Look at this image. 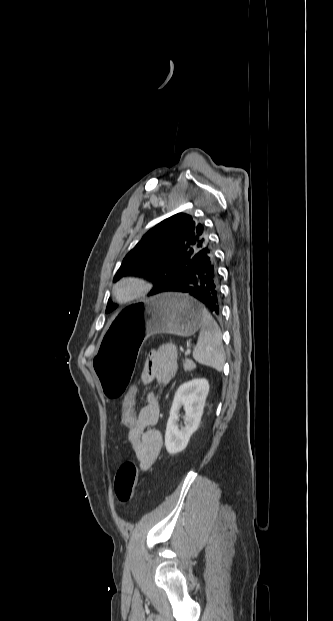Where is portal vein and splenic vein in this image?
<instances>
[{
	"instance_id": "1",
	"label": "portal vein and splenic vein",
	"mask_w": 333,
	"mask_h": 621,
	"mask_svg": "<svg viewBox=\"0 0 333 621\" xmlns=\"http://www.w3.org/2000/svg\"><path fill=\"white\" fill-rule=\"evenodd\" d=\"M190 353H191V350L187 349L186 354H190Z\"/></svg>"
}]
</instances>
